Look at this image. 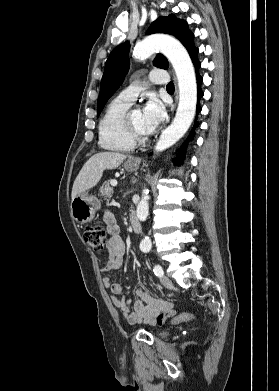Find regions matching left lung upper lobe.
<instances>
[{
	"label": "left lung upper lobe",
	"instance_id": "obj_1",
	"mask_svg": "<svg viewBox=\"0 0 279 391\" xmlns=\"http://www.w3.org/2000/svg\"><path fill=\"white\" fill-rule=\"evenodd\" d=\"M153 33H166L175 36L186 47L189 54L196 49L193 42L194 35L188 29L187 22L176 18L172 14L167 17L161 16L152 22L147 30V34ZM129 50L130 43H122L112 50L106 61L97 102V116L100 115L107 100L123 83L125 75L129 70ZM153 64L162 69L168 68V61L162 54L156 56Z\"/></svg>",
	"mask_w": 279,
	"mask_h": 391
}]
</instances>
